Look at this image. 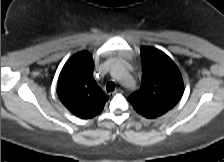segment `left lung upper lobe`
<instances>
[{
    "label": "left lung upper lobe",
    "instance_id": "5c2ea615",
    "mask_svg": "<svg viewBox=\"0 0 224 162\" xmlns=\"http://www.w3.org/2000/svg\"><path fill=\"white\" fill-rule=\"evenodd\" d=\"M141 54V87L128 97V101L142 116L156 118L179 102L184 92L183 80L175 63L164 52L142 47Z\"/></svg>",
    "mask_w": 224,
    "mask_h": 162
}]
</instances>
